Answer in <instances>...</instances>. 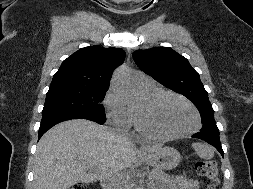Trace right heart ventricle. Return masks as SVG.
Wrapping results in <instances>:
<instances>
[{
  "label": "right heart ventricle",
  "instance_id": "e07e8e85",
  "mask_svg": "<svg viewBox=\"0 0 253 189\" xmlns=\"http://www.w3.org/2000/svg\"><path fill=\"white\" fill-rule=\"evenodd\" d=\"M138 90H139L140 94L142 95V97L145 101L148 100L149 98H151L152 96H154L155 94L161 92V89H159L155 85H153L151 87L138 86ZM132 112H133V117H134V123L136 125H138L139 111L138 110H133Z\"/></svg>",
  "mask_w": 253,
  "mask_h": 189
}]
</instances>
